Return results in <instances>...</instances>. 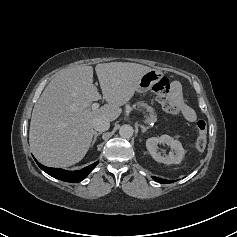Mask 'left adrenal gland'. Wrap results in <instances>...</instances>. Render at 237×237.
I'll use <instances>...</instances> for the list:
<instances>
[{"mask_svg":"<svg viewBox=\"0 0 237 237\" xmlns=\"http://www.w3.org/2000/svg\"><path fill=\"white\" fill-rule=\"evenodd\" d=\"M142 129V133H145L150 127H145L144 125H140Z\"/></svg>","mask_w":237,"mask_h":237,"instance_id":"left-adrenal-gland-1","label":"left adrenal gland"}]
</instances>
